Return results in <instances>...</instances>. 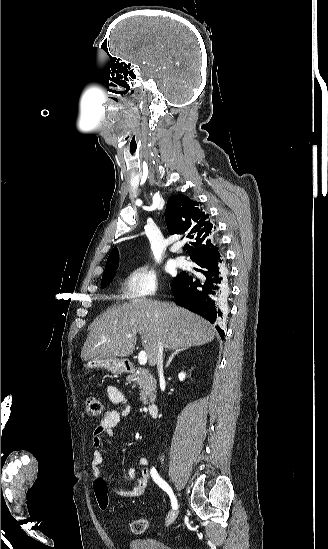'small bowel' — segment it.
Segmentation results:
<instances>
[{"instance_id":"obj_1","label":"small bowel","mask_w":328,"mask_h":549,"mask_svg":"<svg viewBox=\"0 0 328 549\" xmlns=\"http://www.w3.org/2000/svg\"><path fill=\"white\" fill-rule=\"evenodd\" d=\"M107 395L109 400L115 405H124L122 408L111 407L103 415L100 424L94 429L92 434V453L90 459V466L92 474L95 478H101L100 464L102 462V454L100 447L103 442V436H114L116 427L120 422L126 418L132 411L131 407L125 405L126 399L120 389L115 386L107 387ZM137 463L142 466V471L136 480L135 485L128 490H118L122 494L128 497L142 496L149 484L151 478V470L149 468L150 462L146 457H139ZM127 480H134L136 478V470L134 467H129L125 473Z\"/></svg>"}]
</instances>
